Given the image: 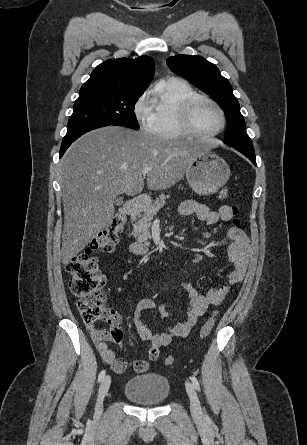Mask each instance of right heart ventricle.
Masks as SVG:
<instances>
[{
  "mask_svg": "<svg viewBox=\"0 0 307 445\" xmlns=\"http://www.w3.org/2000/svg\"><path fill=\"white\" fill-rule=\"evenodd\" d=\"M195 95L189 84L178 80L161 83L155 88L149 108L153 112L151 128L160 136L158 140H189L180 108Z\"/></svg>",
  "mask_w": 307,
  "mask_h": 445,
  "instance_id": "obj_1",
  "label": "right heart ventricle"
}]
</instances>
